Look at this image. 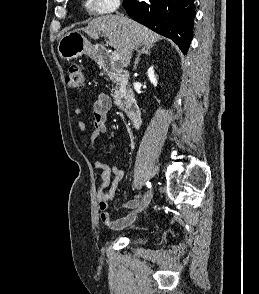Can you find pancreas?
Instances as JSON below:
<instances>
[{
    "mask_svg": "<svg viewBox=\"0 0 259 294\" xmlns=\"http://www.w3.org/2000/svg\"><path fill=\"white\" fill-rule=\"evenodd\" d=\"M113 93L116 105L122 106V98L125 93V87L120 82H117L113 88Z\"/></svg>",
    "mask_w": 259,
    "mask_h": 294,
    "instance_id": "obj_1",
    "label": "pancreas"
}]
</instances>
